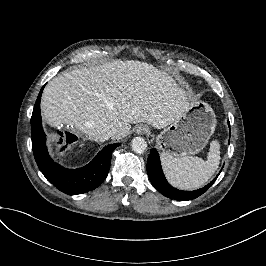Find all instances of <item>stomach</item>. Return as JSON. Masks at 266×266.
Masks as SVG:
<instances>
[{
    "mask_svg": "<svg viewBox=\"0 0 266 266\" xmlns=\"http://www.w3.org/2000/svg\"><path fill=\"white\" fill-rule=\"evenodd\" d=\"M216 127L213 109L205 102L191 105L184 117L169 125L156 142L163 152L176 157L193 155L207 144Z\"/></svg>",
    "mask_w": 266,
    "mask_h": 266,
    "instance_id": "1",
    "label": "stomach"
}]
</instances>
